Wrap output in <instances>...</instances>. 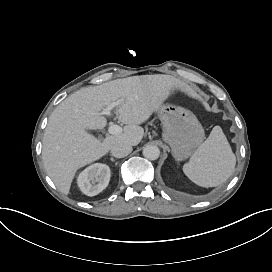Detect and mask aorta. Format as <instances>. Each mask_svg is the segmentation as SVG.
<instances>
[{
  "label": "aorta",
  "instance_id": "762f6f07",
  "mask_svg": "<svg viewBox=\"0 0 272 272\" xmlns=\"http://www.w3.org/2000/svg\"><path fill=\"white\" fill-rule=\"evenodd\" d=\"M160 155V150L155 145H147L143 149V156L149 160H156Z\"/></svg>",
  "mask_w": 272,
  "mask_h": 272
}]
</instances>
